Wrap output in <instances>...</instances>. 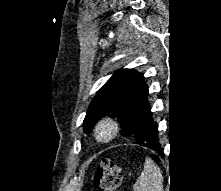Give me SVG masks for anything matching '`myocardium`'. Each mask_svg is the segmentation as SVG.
<instances>
[{
	"label": "myocardium",
	"mask_w": 221,
	"mask_h": 191,
	"mask_svg": "<svg viewBox=\"0 0 221 191\" xmlns=\"http://www.w3.org/2000/svg\"><path fill=\"white\" fill-rule=\"evenodd\" d=\"M119 133V124L110 117L101 119L95 126L94 137L98 142L107 143L112 141Z\"/></svg>",
	"instance_id": "obj_1"
}]
</instances>
